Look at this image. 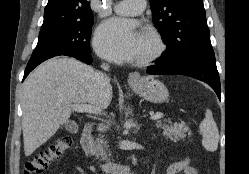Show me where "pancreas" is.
<instances>
[{
    "label": "pancreas",
    "mask_w": 249,
    "mask_h": 174,
    "mask_svg": "<svg viewBox=\"0 0 249 174\" xmlns=\"http://www.w3.org/2000/svg\"><path fill=\"white\" fill-rule=\"evenodd\" d=\"M170 124V125H169ZM156 126L163 130V135L171 139L173 141H179L180 139H183L188 136H191L192 133L189 131V127L183 123L181 124H173L169 122L167 119L164 120H158L156 123ZM109 147L108 142L103 139V136H99L96 141L92 145V153L96 155V157H101L102 159H107V153L106 149Z\"/></svg>",
    "instance_id": "1"
}]
</instances>
